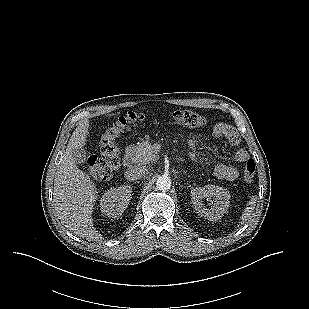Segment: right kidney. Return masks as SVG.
I'll list each match as a JSON object with an SVG mask.
<instances>
[{
	"instance_id": "1",
	"label": "right kidney",
	"mask_w": 309,
	"mask_h": 309,
	"mask_svg": "<svg viewBox=\"0 0 309 309\" xmlns=\"http://www.w3.org/2000/svg\"><path fill=\"white\" fill-rule=\"evenodd\" d=\"M132 188L120 186L107 190L100 200V210L103 214L116 218L128 207L131 200Z\"/></svg>"
}]
</instances>
